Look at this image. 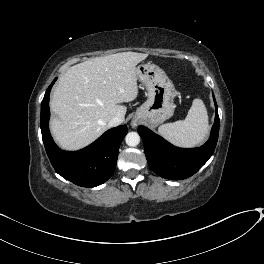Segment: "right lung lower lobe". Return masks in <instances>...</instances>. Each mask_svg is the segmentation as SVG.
I'll list each match as a JSON object with an SVG mask.
<instances>
[{
  "mask_svg": "<svg viewBox=\"0 0 264 264\" xmlns=\"http://www.w3.org/2000/svg\"><path fill=\"white\" fill-rule=\"evenodd\" d=\"M56 79L46 90L41 105L40 126L49 160L59 175L76 185L89 188L101 185L114 173L119 146L128 132L127 126L122 125L106 131L94 143L80 151L60 150L54 143L48 126L49 95Z\"/></svg>",
  "mask_w": 264,
  "mask_h": 264,
  "instance_id": "98d812e1",
  "label": "right lung lower lobe"
}]
</instances>
